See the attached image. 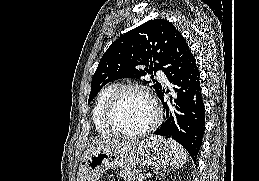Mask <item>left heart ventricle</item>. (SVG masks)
I'll return each instance as SVG.
<instances>
[{
  "mask_svg": "<svg viewBox=\"0 0 259 181\" xmlns=\"http://www.w3.org/2000/svg\"><path fill=\"white\" fill-rule=\"evenodd\" d=\"M153 117L154 111L149 100L139 92L124 94L115 111L117 126L129 132L145 128Z\"/></svg>",
  "mask_w": 259,
  "mask_h": 181,
  "instance_id": "obj_1",
  "label": "left heart ventricle"
}]
</instances>
